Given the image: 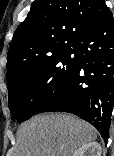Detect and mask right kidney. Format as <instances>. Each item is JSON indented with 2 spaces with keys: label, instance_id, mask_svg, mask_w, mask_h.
I'll return each instance as SVG.
<instances>
[{
  "label": "right kidney",
  "instance_id": "ca27d5eb",
  "mask_svg": "<svg viewBox=\"0 0 114 156\" xmlns=\"http://www.w3.org/2000/svg\"><path fill=\"white\" fill-rule=\"evenodd\" d=\"M101 145L95 141L86 143L78 148L72 156H101Z\"/></svg>",
  "mask_w": 114,
  "mask_h": 156
}]
</instances>
